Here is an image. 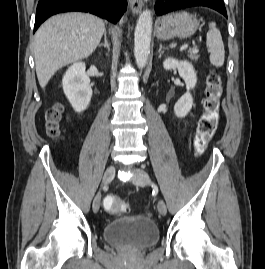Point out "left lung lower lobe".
<instances>
[{"label": "left lung lower lobe", "instance_id": "obj_1", "mask_svg": "<svg viewBox=\"0 0 265 269\" xmlns=\"http://www.w3.org/2000/svg\"><path fill=\"white\" fill-rule=\"evenodd\" d=\"M193 6H206L212 8L227 17L223 0H166L155 4V12L158 16Z\"/></svg>", "mask_w": 265, "mask_h": 269}]
</instances>
